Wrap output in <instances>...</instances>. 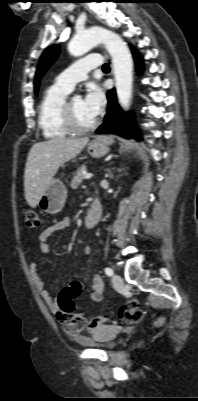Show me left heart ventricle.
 <instances>
[{
    "label": "left heart ventricle",
    "instance_id": "b2bd125f",
    "mask_svg": "<svg viewBox=\"0 0 198 401\" xmlns=\"http://www.w3.org/2000/svg\"><path fill=\"white\" fill-rule=\"evenodd\" d=\"M71 106L79 125L86 126L91 124L96 118L91 116L84 107L83 100L81 98H74L71 100Z\"/></svg>",
    "mask_w": 198,
    "mask_h": 401
}]
</instances>
